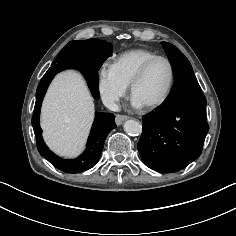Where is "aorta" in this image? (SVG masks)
Masks as SVG:
<instances>
[{
	"label": "aorta",
	"instance_id": "aorta-1",
	"mask_svg": "<svg viewBox=\"0 0 236 236\" xmlns=\"http://www.w3.org/2000/svg\"><path fill=\"white\" fill-rule=\"evenodd\" d=\"M124 130L130 135H140L142 133V125L135 120H127L124 123Z\"/></svg>",
	"mask_w": 236,
	"mask_h": 236
}]
</instances>
